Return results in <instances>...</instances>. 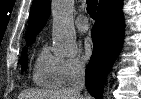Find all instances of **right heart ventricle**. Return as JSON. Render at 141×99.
Here are the masks:
<instances>
[{
  "label": "right heart ventricle",
  "mask_w": 141,
  "mask_h": 99,
  "mask_svg": "<svg viewBox=\"0 0 141 99\" xmlns=\"http://www.w3.org/2000/svg\"><path fill=\"white\" fill-rule=\"evenodd\" d=\"M33 82L43 88H58L64 81L61 74V58L44 46L39 51L33 66Z\"/></svg>",
  "instance_id": "obj_1"
}]
</instances>
